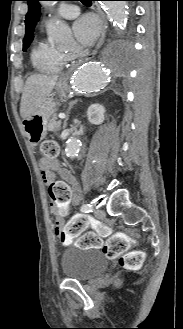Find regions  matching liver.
<instances>
[{
	"label": "liver",
	"instance_id": "6515ba94",
	"mask_svg": "<svg viewBox=\"0 0 183 329\" xmlns=\"http://www.w3.org/2000/svg\"><path fill=\"white\" fill-rule=\"evenodd\" d=\"M58 77L34 74L26 80L20 103V114L23 119L30 117L46 100L56 85Z\"/></svg>",
	"mask_w": 183,
	"mask_h": 329
}]
</instances>
